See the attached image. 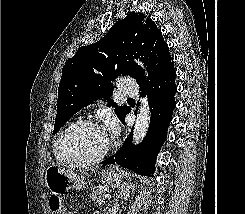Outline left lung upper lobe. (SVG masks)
Masks as SVG:
<instances>
[{"mask_svg":"<svg viewBox=\"0 0 245 214\" xmlns=\"http://www.w3.org/2000/svg\"><path fill=\"white\" fill-rule=\"evenodd\" d=\"M141 58L149 71L133 58ZM161 30L142 13L131 12L118 20L98 42L82 46L66 61L58 88L57 115L53 135L81 108L97 99L108 100L118 118L123 121L129 107L117 106L110 99L112 81L121 75L134 78L141 88L156 81L173 65Z\"/></svg>","mask_w":245,"mask_h":214,"instance_id":"1","label":"left lung upper lobe"}]
</instances>
